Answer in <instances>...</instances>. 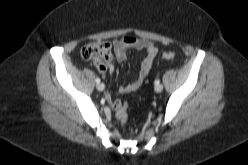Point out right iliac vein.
<instances>
[{"label": "right iliac vein", "mask_w": 248, "mask_h": 165, "mask_svg": "<svg viewBox=\"0 0 248 165\" xmlns=\"http://www.w3.org/2000/svg\"><path fill=\"white\" fill-rule=\"evenodd\" d=\"M96 88L98 91H103L105 89V85L103 83H97Z\"/></svg>", "instance_id": "obj_1"}]
</instances>
